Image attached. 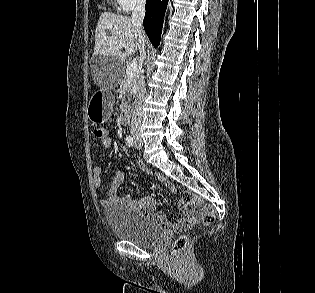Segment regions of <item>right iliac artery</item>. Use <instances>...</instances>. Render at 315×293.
<instances>
[{
    "label": "right iliac artery",
    "instance_id": "right-iliac-artery-1",
    "mask_svg": "<svg viewBox=\"0 0 315 293\" xmlns=\"http://www.w3.org/2000/svg\"><path fill=\"white\" fill-rule=\"evenodd\" d=\"M125 142L129 147H132L135 143L134 138L130 135L125 138Z\"/></svg>",
    "mask_w": 315,
    "mask_h": 293
}]
</instances>
